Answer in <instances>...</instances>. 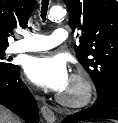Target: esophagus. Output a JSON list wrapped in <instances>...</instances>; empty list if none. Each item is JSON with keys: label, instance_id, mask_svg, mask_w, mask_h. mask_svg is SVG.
Segmentation results:
<instances>
[{"label": "esophagus", "instance_id": "1", "mask_svg": "<svg viewBox=\"0 0 118 123\" xmlns=\"http://www.w3.org/2000/svg\"><path fill=\"white\" fill-rule=\"evenodd\" d=\"M41 112L47 122L53 123L56 120L54 112L45 104L41 106Z\"/></svg>", "mask_w": 118, "mask_h": 123}]
</instances>
